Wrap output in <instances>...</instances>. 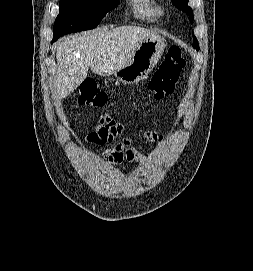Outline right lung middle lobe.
I'll return each mask as SVG.
<instances>
[{
  "instance_id": "dd1d6c3e",
  "label": "right lung middle lobe",
  "mask_w": 253,
  "mask_h": 271,
  "mask_svg": "<svg viewBox=\"0 0 253 271\" xmlns=\"http://www.w3.org/2000/svg\"><path fill=\"white\" fill-rule=\"evenodd\" d=\"M117 5V0H60V12L54 23L53 39L95 28Z\"/></svg>"
}]
</instances>
